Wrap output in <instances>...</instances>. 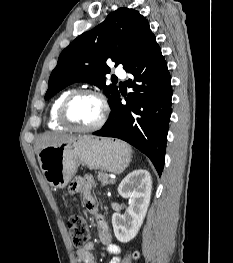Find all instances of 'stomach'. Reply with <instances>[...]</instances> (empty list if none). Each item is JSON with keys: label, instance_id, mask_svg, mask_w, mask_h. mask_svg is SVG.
Returning <instances> with one entry per match:
<instances>
[{"label": "stomach", "instance_id": "0dacf381", "mask_svg": "<svg viewBox=\"0 0 233 263\" xmlns=\"http://www.w3.org/2000/svg\"><path fill=\"white\" fill-rule=\"evenodd\" d=\"M38 161L49 185L62 189L76 174L79 164L115 174L123 172L131 161V151L120 140L79 135L44 147Z\"/></svg>", "mask_w": 233, "mask_h": 263}]
</instances>
